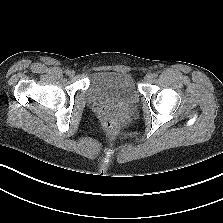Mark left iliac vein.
Returning a JSON list of instances; mask_svg holds the SVG:
<instances>
[{"mask_svg":"<svg viewBox=\"0 0 223 223\" xmlns=\"http://www.w3.org/2000/svg\"><path fill=\"white\" fill-rule=\"evenodd\" d=\"M153 78H154L153 74L152 73H148V74L145 75L144 80H145V82L149 83V82L152 81Z\"/></svg>","mask_w":223,"mask_h":223,"instance_id":"left-iliac-vein-1","label":"left iliac vein"}]
</instances>
